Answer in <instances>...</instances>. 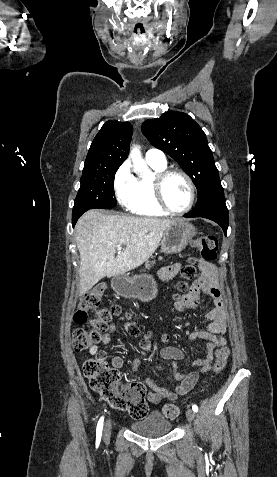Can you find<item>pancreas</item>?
<instances>
[{"label":"pancreas","instance_id":"cf45deb5","mask_svg":"<svg viewBox=\"0 0 277 477\" xmlns=\"http://www.w3.org/2000/svg\"><path fill=\"white\" fill-rule=\"evenodd\" d=\"M154 264H155V261L147 262V263L145 264V267H146V268H150V267H152Z\"/></svg>","mask_w":277,"mask_h":477}]
</instances>
